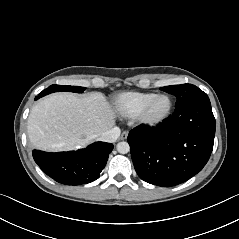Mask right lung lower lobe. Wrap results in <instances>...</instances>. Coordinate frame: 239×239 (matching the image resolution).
Segmentation results:
<instances>
[{
  "label": "right lung lower lobe",
  "mask_w": 239,
  "mask_h": 239,
  "mask_svg": "<svg viewBox=\"0 0 239 239\" xmlns=\"http://www.w3.org/2000/svg\"><path fill=\"white\" fill-rule=\"evenodd\" d=\"M40 98L39 96L35 99ZM113 144L95 142L77 151L49 153L33 150V158L42 171L66 185L87 184L99 178Z\"/></svg>",
  "instance_id": "98d812e1"
}]
</instances>
